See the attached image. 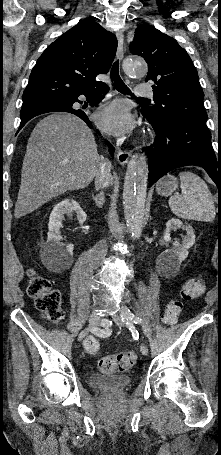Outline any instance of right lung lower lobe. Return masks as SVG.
Returning a JSON list of instances; mask_svg holds the SVG:
<instances>
[{"label": "right lung lower lobe", "mask_w": 221, "mask_h": 455, "mask_svg": "<svg viewBox=\"0 0 221 455\" xmlns=\"http://www.w3.org/2000/svg\"><path fill=\"white\" fill-rule=\"evenodd\" d=\"M108 90L107 86L104 83L101 84H90L84 86L75 92L71 93L69 96L62 100L57 101H48L38 104H33L21 109L20 118L21 123L19 130L33 117L38 116L40 114L48 113V112H68L72 113L78 117H80L83 121L87 123V125L92 128L91 122L89 121L86 113L83 110H77L72 107L75 102L81 103L78 99L80 95H85L88 97V101L91 105H96L104 98V95L99 97V94L106 92ZM97 99V101H96ZM18 130V131H19ZM109 146L110 152L114 150L113 146L107 142Z\"/></svg>", "instance_id": "right-lung-lower-lobe-1"}]
</instances>
